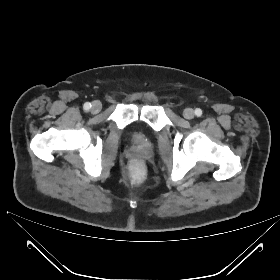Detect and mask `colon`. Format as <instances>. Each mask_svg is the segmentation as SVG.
<instances>
[{"mask_svg":"<svg viewBox=\"0 0 280 280\" xmlns=\"http://www.w3.org/2000/svg\"><path fill=\"white\" fill-rule=\"evenodd\" d=\"M136 176H137V178H139L140 179V177H141V173L139 172V171H136V174H135Z\"/></svg>","mask_w":280,"mask_h":280,"instance_id":"5ec220e1","label":"colon"}]
</instances>
